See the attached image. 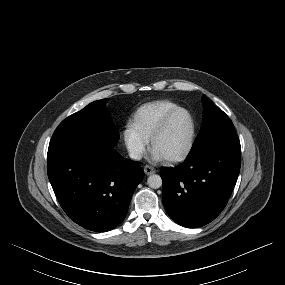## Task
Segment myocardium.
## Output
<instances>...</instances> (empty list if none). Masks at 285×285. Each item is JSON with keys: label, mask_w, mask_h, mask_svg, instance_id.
<instances>
[{"label": "myocardium", "mask_w": 285, "mask_h": 285, "mask_svg": "<svg viewBox=\"0 0 285 285\" xmlns=\"http://www.w3.org/2000/svg\"><path fill=\"white\" fill-rule=\"evenodd\" d=\"M180 112L187 114V116L190 120L189 138H188V142H187L186 147L184 148V150L180 154H178L174 157L164 159L169 164H175V163L181 162L184 159H186L194 147L197 129H196V121H195L193 114L188 109H186L184 107H177V108L171 110L170 112H168L163 117V119L160 121V123L158 124V126L156 127V129L154 130V132L152 133V135L150 137V146H151V149L154 151V147H155V143H156L157 139L164 133V131L166 130V128H167L168 124L170 123V121L172 120V118Z\"/></svg>", "instance_id": "obj_1"}]
</instances>
